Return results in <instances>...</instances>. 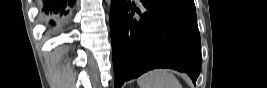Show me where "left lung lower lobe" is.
Segmentation results:
<instances>
[{
  "mask_svg": "<svg viewBox=\"0 0 267 88\" xmlns=\"http://www.w3.org/2000/svg\"><path fill=\"white\" fill-rule=\"evenodd\" d=\"M140 2L142 9L126 0L111 2L115 88L154 68L187 72L195 84L201 66L196 12L158 0Z\"/></svg>",
  "mask_w": 267,
  "mask_h": 88,
  "instance_id": "obj_1",
  "label": "left lung lower lobe"
}]
</instances>
